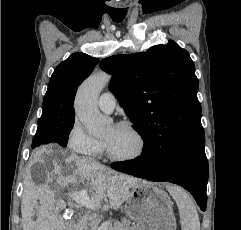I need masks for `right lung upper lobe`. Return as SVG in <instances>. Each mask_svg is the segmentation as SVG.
<instances>
[{"mask_svg": "<svg viewBox=\"0 0 241 230\" xmlns=\"http://www.w3.org/2000/svg\"><path fill=\"white\" fill-rule=\"evenodd\" d=\"M99 60L84 53H73L54 70L42 105V115L59 120L75 118L73 101L77 87Z\"/></svg>", "mask_w": 241, "mask_h": 230, "instance_id": "cb5924a9", "label": "right lung upper lobe"}]
</instances>
